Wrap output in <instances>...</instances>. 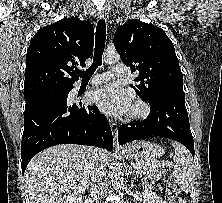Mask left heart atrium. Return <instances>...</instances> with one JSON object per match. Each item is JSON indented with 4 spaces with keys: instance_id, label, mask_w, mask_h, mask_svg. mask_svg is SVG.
Masks as SVG:
<instances>
[{
    "instance_id": "39dd6f15",
    "label": "left heart atrium",
    "mask_w": 222,
    "mask_h": 203,
    "mask_svg": "<svg viewBox=\"0 0 222 203\" xmlns=\"http://www.w3.org/2000/svg\"><path fill=\"white\" fill-rule=\"evenodd\" d=\"M92 101L109 115H121L129 110L131 98L127 91L114 85H106L94 91Z\"/></svg>"
}]
</instances>
